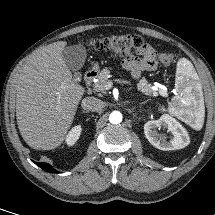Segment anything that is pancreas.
Masks as SVG:
<instances>
[{
  "mask_svg": "<svg viewBox=\"0 0 215 215\" xmlns=\"http://www.w3.org/2000/svg\"><path fill=\"white\" fill-rule=\"evenodd\" d=\"M110 69L104 68L101 70L98 76L97 82L93 85L95 91L97 92H104L106 90L105 85L110 82L109 76H110ZM152 85L148 83L146 79H141L139 83L137 84V88L140 92L144 93L145 95H155L157 94L156 91H154L152 88Z\"/></svg>",
  "mask_w": 215,
  "mask_h": 215,
  "instance_id": "pancreas-1",
  "label": "pancreas"
}]
</instances>
